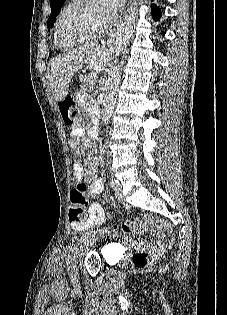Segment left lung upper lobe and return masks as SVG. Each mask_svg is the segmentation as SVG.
I'll list each match as a JSON object with an SVG mask.
<instances>
[{
    "label": "left lung upper lobe",
    "mask_w": 227,
    "mask_h": 315,
    "mask_svg": "<svg viewBox=\"0 0 227 315\" xmlns=\"http://www.w3.org/2000/svg\"><path fill=\"white\" fill-rule=\"evenodd\" d=\"M65 0H50V7L52 9L49 20L47 22L48 30L53 27L55 19L59 14Z\"/></svg>",
    "instance_id": "left-lung-upper-lobe-1"
}]
</instances>
